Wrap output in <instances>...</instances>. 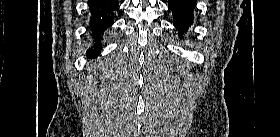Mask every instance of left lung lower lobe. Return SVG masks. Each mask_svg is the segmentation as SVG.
Listing matches in <instances>:
<instances>
[{
  "label": "left lung lower lobe",
  "mask_w": 280,
  "mask_h": 137,
  "mask_svg": "<svg viewBox=\"0 0 280 137\" xmlns=\"http://www.w3.org/2000/svg\"><path fill=\"white\" fill-rule=\"evenodd\" d=\"M196 0H169L168 7L173 14V23L180 37L193 23Z\"/></svg>",
  "instance_id": "0a47b994"
}]
</instances>
